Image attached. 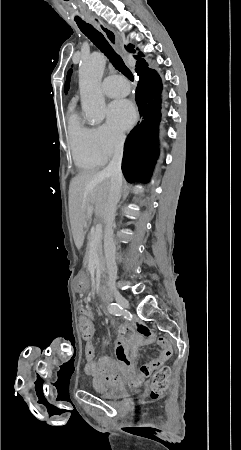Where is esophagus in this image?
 <instances>
[{"instance_id": "esophagus-1", "label": "esophagus", "mask_w": 241, "mask_h": 450, "mask_svg": "<svg viewBox=\"0 0 241 450\" xmlns=\"http://www.w3.org/2000/svg\"><path fill=\"white\" fill-rule=\"evenodd\" d=\"M87 21L89 23H92L93 25H95V27L98 28V30H100V32H102L104 34V36L106 37L108 42L112 46L117 48L118 42H119V37L112 28L105 25V23L102 22V20H100V18H98L97 16H92Z\"/></svg>"}]
</instances>
